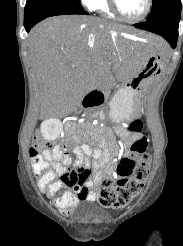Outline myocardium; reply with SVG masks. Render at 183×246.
<instances>
[{
  "label": "myocardium",
  "mask_w": 183,
  "mask_h": 246,
  "mask_svg": "<svg viewBox=\"0 0 183 246\" xmlns=\"http://www.w3.org/2000/svg\"><path fill=\"white\" fill-rule=\"evenodd\" d=\"M108 3H109V6H110V9L112 10V12L118 18H120L121 20L128 22V23H137V22L144 20L148 16V14L150 13L151 7H152V0H146V7H145L144 12L136 18H129V17H126L122 13V11L120 10L118 0H108Z\"/></svg>",
  "instance_id": "1"
}]
</instances>
